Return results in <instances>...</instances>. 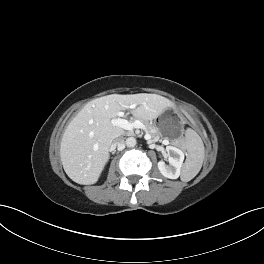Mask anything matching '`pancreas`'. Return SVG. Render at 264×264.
I'll return each mask as SVG.
<instances>
[{
    "instance_id": "1",
    "label": "pancreas",
    "mask_w": 264,
    "mask_h": 264,
    "mask_svg": "<svg viewBox=\"0 0 264 264\" xmlns=\"http://www.w3.org/2000/svg\"><path fill=\"white\" fill-rule=\"evenodd\" d=\"M137 118V117H136ZM146 127V131L151 135V137L153 139H157L160 137V133L159 130L157 129V127L153 124L148 123L147 121L138 118Z\"/></svg>"
}]
</instances>
